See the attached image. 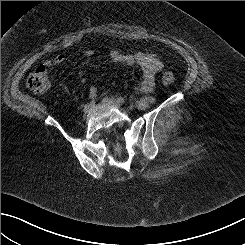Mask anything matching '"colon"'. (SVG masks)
I'll list each match as a JSON object with an SVG mask.
<instances>
[{
    "mask_svg": "<svg viewBox=\"0 0 245 245\" xmlns=\"http://www.w3.org/2000/svg\"><path fill=\"white\" fill-rule=\"evenodd\" d=\"M162 82L165 85H171L176 81V74L171 70H165L162 74ZM27 87L34 93L43 95L49 87V78L44 66H40L27 78Z\"/></svg>",
    "mask_w": 245,
    "mask_h": 245,
    "instance_id": "colon-1",
    "label": "colon"
}]
</instances>
